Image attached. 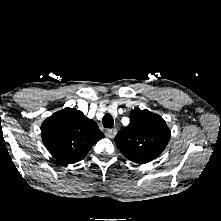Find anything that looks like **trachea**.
I'll use <instances>...</instances> for the list:
<instances>
[{
  "label": "trachea",
  "instance_id": "1",
  "mask_svg": "<svg viewBox=\"0 0 221 221\" xmlns=\"http://www.w3.org/2000/svg\"><path fill=\"white\" fill-rule=\"evenodd\" d=\"M102 123L105 128H112L114 124L113 117L110 114L104 115L102 119Z\"/></svg>",
  "mask_w": 221,
  "mask_h": 221
}]
</instances>
